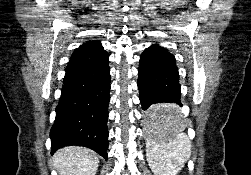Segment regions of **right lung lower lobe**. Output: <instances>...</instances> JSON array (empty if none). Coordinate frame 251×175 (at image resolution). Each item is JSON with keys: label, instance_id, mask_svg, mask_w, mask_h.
<instances>
[{"label": "right lung lower lobe", "instance_id": "right-lung-lower-lobe-1", "mask_svg": "<svg viewBox=\"0 0 251 175\" xmlns=\"http://www.w3.org/2000/svg\"><path fill=\"white\" fill-rule=\"evenodd\" d=\"M108 54L67 66L56 118L51 128V154L69 145L88 147L107 160L110 69Z\"/></svg>", "mask_w": 251, "mask_h": 175}]
</instances>
